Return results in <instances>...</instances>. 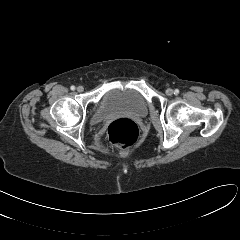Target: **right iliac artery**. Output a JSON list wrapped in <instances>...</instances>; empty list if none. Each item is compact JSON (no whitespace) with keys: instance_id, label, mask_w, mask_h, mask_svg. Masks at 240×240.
I'll return each mask as SVG.
<instances>
[{"instance_id":"82829eb1","label":"right iliac artery","mask_w":240,"mask_h":240,"mask_svg":"<svg viewBox=\"0 0 240 240\" xmlns=\"http://www.w3.org/2000/svg\"><path fill=\"white\" fill-rule=\"evenodd\" d=\"M70 89H71V90H75V86L72 85V86L70 87Z\"/></svg>"}]
</instances>
